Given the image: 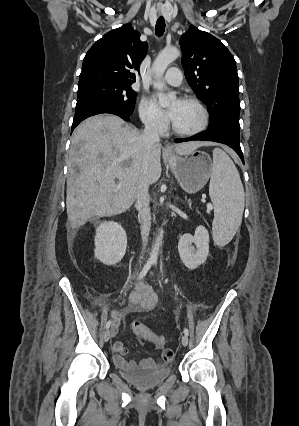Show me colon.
I'll return each mask as SVG.
<instances>
[{"label": "colon", "instance_id": "5ec220e1", "mask_svg": "<svg viewBox=\"0 0 299 426\" xmlns=\"http://www.w3.org/2000/svg\"><path fill=\"white\" fill-rule=\"evenodd\" d=\"M132 330L135 335L154 344L158 348H163L165 345V338L163 336L156 334L150 328L140 322H134L132 324Z\"/></svg>", "mask_w": 299, "mask_h": 426}]
</instances>
